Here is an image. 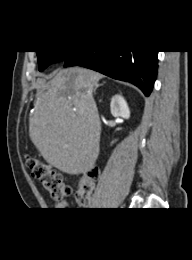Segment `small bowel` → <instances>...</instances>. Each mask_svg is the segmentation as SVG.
<instances>
[{"label":"small bowel","mask_w":192,"mask_h":260,"mask_svg":"<svg viewBox=\"0 0 192 260\" xmlns=\"http://www.w3.org/2000/svg\"><path fill=\"white\" fill-rule=\"evenodd\" d=\"M68 207V203L66 200L57 201L55 203V208L57 210H65Z\"/></svg>","instance_id":"obj_1"}]
</instances>
